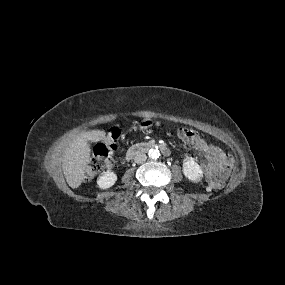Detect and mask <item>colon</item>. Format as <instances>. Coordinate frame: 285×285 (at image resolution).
I'll use <instances>...</instances> for the list:
<instances>
[{
  "mask_svg": "<svg viewBox=\"0 0 285 285\" xmlns=\"http://www.w3.org/2000/svg\"><path fill=\"white\" fill-rule=\"evenodd\" d=\"M120 136V130L113 128L109 132L105 141L95 145L93 155L84 171L85 179H92L98 174L104 173L113 166V151L117 147ZM181 140L188 145H195L199 139L198 134L189 128H182L179 131ZM223 187L221 180H212L209 182V188L219 190Z\"/></svg>",
  "mask_w": 285,
  "mask_h": 285,
  "instance_id": "obj_1",
  "label": "colon"
}]
</instances>
